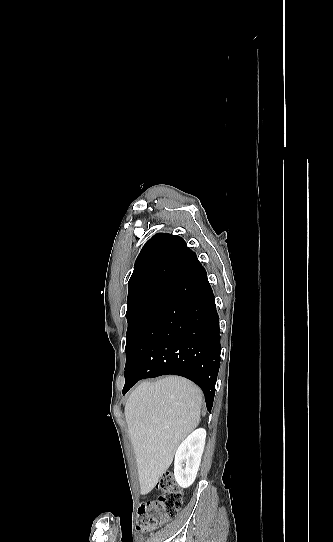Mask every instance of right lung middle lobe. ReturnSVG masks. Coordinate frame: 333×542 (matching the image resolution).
<instances>
[{"instance_id": "right-lung-middle-lobe-1", "label": "right lung middle lobe", "mask_w": 333, "mask_h": 542, "mask_svg": "<svg viewBox=\"0 0 333 542\" xmlns=\"http://www.w3.org/2000/svg\"><path fill=\"white\" fill-rule=\"evenodd\" d=\"M166 294L152 297L127 308L128 329L126 334V366L134 359L135 343L153 309ZM125 366V367H126Z\"/></svg>"}]
</instances>
